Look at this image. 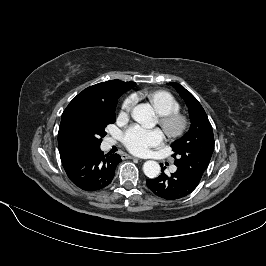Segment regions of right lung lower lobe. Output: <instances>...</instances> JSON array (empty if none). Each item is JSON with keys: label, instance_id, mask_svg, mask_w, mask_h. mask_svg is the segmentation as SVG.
I'll list each match as a JSON object with an SVG mask.
<instances>
[{"label": "right lung lower lobe", "instance_id": "obj_1", "mask_svg": "<svg viewBox=\"0 0 266 266\" xmlns=\"http://www.w3.org/2000/svg\"><path fill=\"white\" fill-rule=\"evenodd\" d=\"M60 157L69 179L85 191H97L109 185L121 161L118 154L104 155L100 147L77 149Z\"/></svg>", "mask_w": 266, "mask_h": 266}]
</instances>
